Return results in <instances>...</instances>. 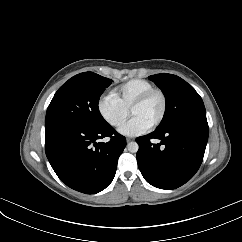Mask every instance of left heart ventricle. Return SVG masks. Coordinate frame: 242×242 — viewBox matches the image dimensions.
Instances as JSON below:
<instances>
[{
  "instance_id": "1",
  "label": "left heart ventricle",
  "mask_w": 242,
  "mask_h": 242,
  "mask_svg": "<svg viewBox=\"0 0 242 242\" xmlns=\"http://www.w3.org/2000/svg\"><path fill=\"white\" fill-rule=\"evenodd\" d=\"M161 107V98L158 95H154L143 105L134 109L131 115L151 126L158 119Z\"/></svg>"
}]
</instances>
